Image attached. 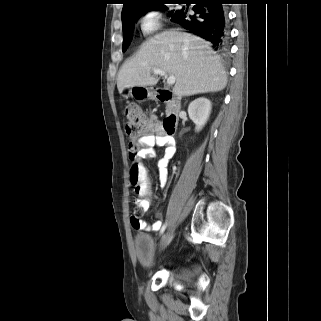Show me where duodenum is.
<instances>
[{
  "label": "duodenum",
  "instance_id": "1",
  "mask_svg": "<svg viewBox=\"0 0 321 321\" xmlns=\"http://www.w3.org/2000/svg\"><path fill=\"white\" fill-rule=\"evenodd\" d=\"M154 97L158 101L166 103L170 107V113L164 119L162 127L165 133L173 135L177 127L181 100L177 95L167 89H157L154 92Z\"/></svg>",
  "mask_w": 321,
  "mask_h": 321
}]
</instances>
